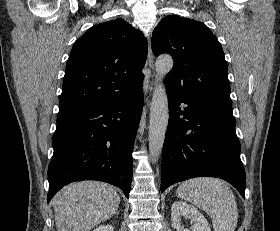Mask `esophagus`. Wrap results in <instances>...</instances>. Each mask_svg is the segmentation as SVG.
I'll use <instances>...</instances> for the list:
<instances>
[{
  "label": "esophagus",
  "mask_w": 280,
  "mask_h": 231,
  "mask_svg": "<svg viewBox=\"0 0 280 231\" xmlns=\"http://www.w3.org/2000/svg\"><path fill=\"white\" fill-rule=\"evenodd\" d=\"M147 65H148L149 69H151V70L154 69V59H153V53H152L150 41H149V44H148V60H147ZM156 84H157V78H155V80L149 84L148 88L150 90H152L156 86Z\"/></svg>",
  "instance_id": "34e87169"
}]
</instances>
